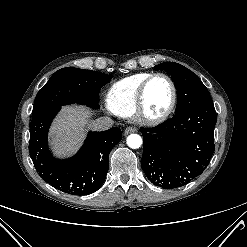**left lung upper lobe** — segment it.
Wrapping results in <instances>:
<instances>
[{"mask_svg":"<svg viewBox=\"0 0 247 247\" xmlns=\"http://www.w3.org/2000/svg\"><path fill=\"white\" fill-rule=\"evenodd\" d=\"M155 67L167 71L175 82L178 94L175 114L196 106L213 104L205 85L186 67L175 62H165Z\"/></svg>","mask_w":247,"mask_h":247,"instance_id":"5c2ea615","label":"left lung upper lobe"}]
</instances>
